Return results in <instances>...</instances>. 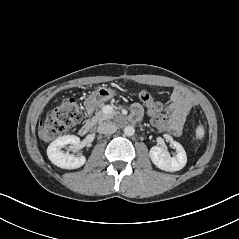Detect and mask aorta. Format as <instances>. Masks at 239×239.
I'll return each mask as SVG.
<instances>
[{"label": "aorta", "mask_w": 239, "mask_h": 239, "mask_svg": "<svg viewBox=\"0 0 239 239\" xmlns=\"http://www.w3.org/2000/svg\"><path fill=\"white\" fill-rule=\"evenodd\" d=\"M134 133H135V129L133 126L128 125L124 128V134L126 136H133Z\"/></svg>", "instance_id": "aorta-1"}]
</instances>
